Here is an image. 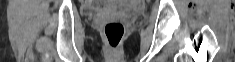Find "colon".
<instances>
[{"label": "colon", "mask_w": 235, "mask_h": 62, "mask_svg": "<svg viewBox=\"0 0 235 62\" xmlns=\"http://www.w3.org/2000/svg\"><path fill=\"white\" fill-rule=\"evenodd\" d=\"M124 31V25L120 21H110L105 24L104 35L111 48L118 47L123 38Z\"/></svg>", "instance_id": "5ec220e1"}]
</instances>
